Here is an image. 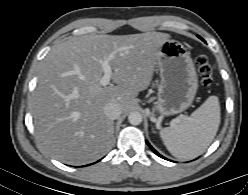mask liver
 Instances as JSON below:
<instances>
[{"mask_svg": "<svg viewBox=\"0 0 248 195\" xmlns=\"http://www.w3.org/2000/svg\"><path fill=\"white\" fill-rule=\"evenodd\" d=\"M170 35L88 34L54 46L43 59L31 113L40 145L55 159L81 165L102 157L111 147L113 120L104 107L116 102L130 109L152 81L159 49ZM109 61L114 84L102 86L101 62Z\"/></svg>", "mask_w": 248, "mask_h": 195, "instance_id": "obj_1", "label": "liver"}]
</instances>
